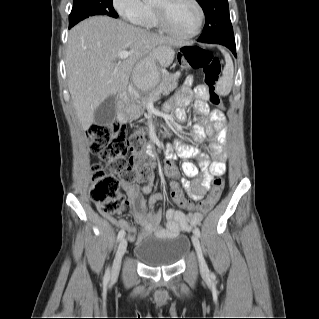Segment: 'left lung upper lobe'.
<instances>
[{
	"instance_id": "5c2ea615",
	"label": "left lung upper lobe",
	"mask_w": 319,
	"mask_h": 319,
	"mask_svg": "<svg viewBox=\"0 0 319 319\" xmlns=\"http://www.w3.org/2000/svg\"><path fill=\"white\" fill-rule=\"evenodd\" d=\"M202 7L206 22L199 42H233L234 34L227 0H196Z\"/></svg>"
}]
</instances>
